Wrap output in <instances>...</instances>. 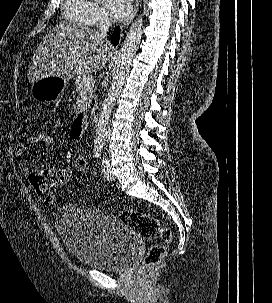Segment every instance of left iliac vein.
Returning a JSON list of instances; mask_svg holds the SVG:
<instances>
[{"label":"left iliac vein","instance_id":"1","mask_svg":"<svg viewBox=\"0 0 272 303\" xmlns=\"http://www.w3.org/2000/svg\"><path fill=\"white\" fill-rule=\"evenodd\" d=\"M102 172H103L104 177L107 180L112 181L114 179V175L111 170V165H110L109 161L106 159L103 160V162H102Z\"/></svg>","mask_w":272,"mask_h":303}]
</instances>
